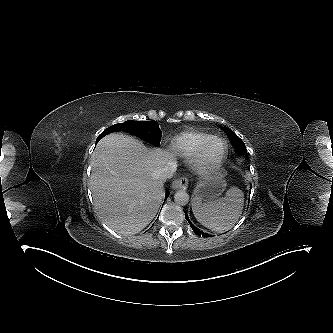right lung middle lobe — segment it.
Returning a JSON list of instances; mask_svg holds the SVG:
<instances>
[{"instance_id": "obj_1", "label": "right lung middle lobe", "mask_w": 333, "mask_h": 333, "mask_svg": "<svg viewBox=\"0 0 333 333\" xmlns=\"http://www.w3.org/2000/svg\"><path fill=\"white\" fill-rule=\"evenodd\" d=\"M108 133L116 131H124L139 137L155 146L160 145L161 130L156 121H126L124 123L115 124L105 130Z\"/></svg>"}]
</instances>
